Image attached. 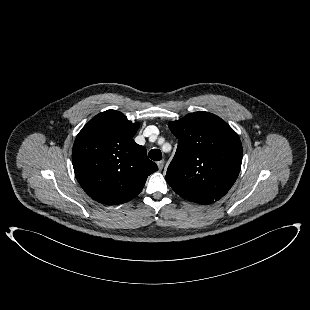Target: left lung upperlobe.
Segmentation results:
<instances>
[{"label": "left lung upper lobe", "instance_id": "left-lung-upper-lobe-1", "mask_svg": "<svg viewBox=\"0 0 310 310\" xmlns=\"http://www.w3.org/2000/svg\"><path fill=\"white\" fill-rule=\"evenodd\" d=\"M178 138L166 181L183 198L210 204L232 187L241 169L242 145L238 134L220 117L194 112L169 122Z\"/></svg>", "mask_w": 310, "mask_h": 310}]
</instances>
